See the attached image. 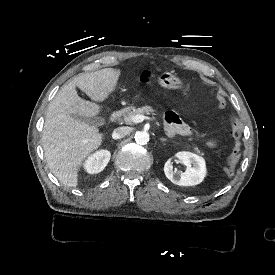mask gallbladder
<instances>
[{"mask_svg":"<svg viewBox=\"0 0 275 275\" xmlns=\"http://www.w3.org/2000/svg\"><path fill=\"white\" fill-rule=\"evenodd\" d=\"M82 121L88 122L95 126H103L105 124V119L103 117L98 118H85V117H79Z\"/></svg>","mask_w":275,"mask_h":275,"instance_id":"bac80fb5","label":"gallbladder"}]
</instances>
